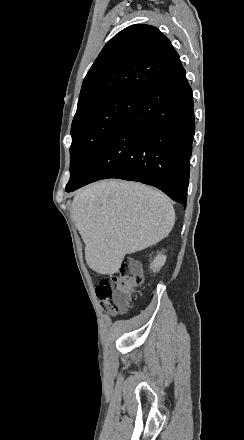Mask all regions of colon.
<instances>
[{"mask_svg": "<svg viewBox=\"0 0 244 440\" xmlns=\"http://www.w3.org/2000/svg\"><path fill=\"white\" fill-rule=\"evenodd\" d=\"M142 281L138 263L134 260H126L113 275L99 281L96 286V297L108 314H120L128 309Z\"/></svg>", "mask_w": 244, "mask_h": 440, "instance_id": "colon-1", "label": "colon"}]
</instances>
